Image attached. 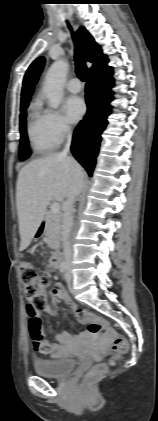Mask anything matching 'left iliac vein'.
<instances>
[{
	"instance_id": "obj_1",
	"label": "left iliac vein",
	"mask_w": 158,
	"mask_h": 421,
	"mask_svg": "<svg viewBox=\"0 0 158 421\" xmlns=\"http://www.w3.org/2000/svg\"><path fill=\"white\" fill-rule=\"evenodd\" d=\"M65 280L67 281V283H71L72 280V275L70 273V270L67 269L66 273H65Z\"/></svg>"
}]
</instances>
